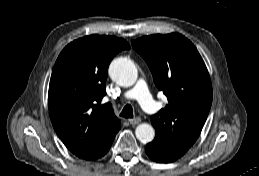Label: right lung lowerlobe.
Segmentation results:
<instances>
[{"instance_id":"obj_1","label":"right lung lower lobe","mask_w":259,"mask_h":176,"mask_svg":"<svg viewBox=\"0 0 259 176\" xmlns=\"http://www.w3.org/2000/svg\"><path fill=\"white\" fill-rule=\"evenodd\" d=\"M113 140H111L108 144H106L96 155H94L89 160H95V159H98V158H101L102 156H104L110 149Z\"/></svg>"}]
</instances>
